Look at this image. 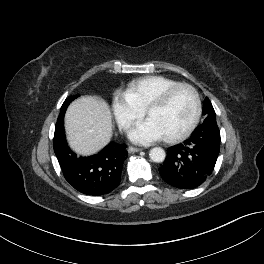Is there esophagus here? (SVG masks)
Masks as SVG:
<instances>
[{
    "instance_id": "1",
    "label": "esophagus",
    "mask_w": 264,
    "mask_h": 264,
    "mask_svg": "<svg viewBox=\"0 0 264 264\" xmlns=\"http://www.w3.org/2000/svg\"><path fill=\"white\" fill-rule=\"evenodd\" d=\"M140 151H142L141 148H135V147H129L128 148L129 153H135V152H140Z\"/></svg>"
}]
</instances>
